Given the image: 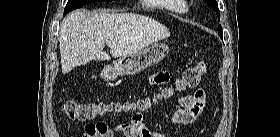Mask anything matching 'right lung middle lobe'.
<instances>
[{
  "mask_svg": "<svg viewBox=\"0 0 280 137\" xmlns=\"http://www.w3.org/2000/svg\"><path fill=\"white\" fill-rule=\"evenodd\" d=\"M96 1H112V0H68V3L64 9V15L72 10H75L84 5H87L89 3L96 2Z\"/></svg>",
  "mask_w": 280,
  "mask_h": 137,
  "instance_id": "dd1d6c3e",
  "label": "right lung middle lobe"
}]
</instances>
